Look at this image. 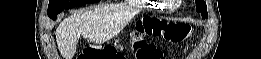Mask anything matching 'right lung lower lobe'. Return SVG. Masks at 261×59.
<instances>
[{
  "label": "right lung lower lobe",
  "mask_w": 261,
  "mask_h": 59,
  "mask_svg": "<svg viewBox=\"0 0 261 59\" xmlns=\"http://www.w3.org/2000/svg\"><path fill=\"white\" fill-rule=\"evenodd\" d=\"M51 19L55 20V19H56V16H55V17H51Z\"/></svg>",
  "instance_id": "obj_1"
}]
</instances>
